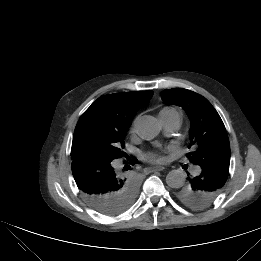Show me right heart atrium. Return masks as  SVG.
I'll return each mask as SVG.
<instances>
[{"mask_svg": "<svg viewBox=\"0 0 261 261\" xmlns=\"http://www.w3.org/2000/svg\"><path fill=\"white\" fill-rule=\"evenodd\" d=\"M130 133L134 134L135 133V123L132 125L131 129H130Z\"/></svg>", "mask_w": 261, "mask_h": 261, "instance_id": "right-heart-atrium-1", "label": "right heart atrium"}]
</instances>
